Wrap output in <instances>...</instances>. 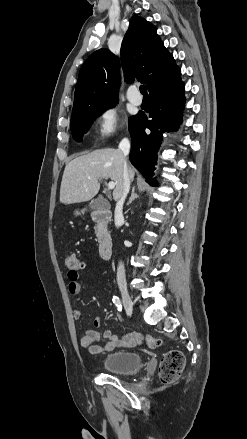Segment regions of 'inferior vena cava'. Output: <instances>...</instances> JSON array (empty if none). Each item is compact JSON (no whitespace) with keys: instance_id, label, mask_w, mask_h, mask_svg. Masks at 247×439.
<instances>
[{"instance_id":"602c4592","label":"inferior vena cava","mask_w":247,"mask_h":439,"mask_svg":"<svg viewBox=\"0 0 247 439\" xmlns=\"http://www.w3.org/2000/svg\"><path fill=\"white\" fill-rule=\"evenodd\" d=\"M119 149L122 151V153L124 154L125 157L129 154L130 142L127 138H123L121 140V142L119 143ZM129 189H130V178H129V173H128L126 162H124V165H123V192H122L120 200L116 204L115 213H114L115 225L117 227L123 221V204H124V201H125V198H126L128 192H129ZM117 283H118L119 288L126 287L125 268H124V264L122 262H119V265L117 268Z\"/></svg>"}]
</instances>
